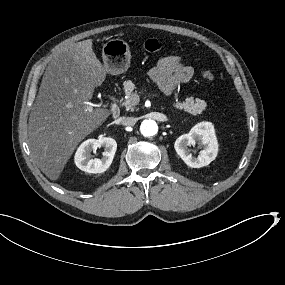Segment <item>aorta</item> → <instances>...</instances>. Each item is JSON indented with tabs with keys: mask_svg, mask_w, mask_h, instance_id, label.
<instances>
[{
	"mask_svg": "<svg viewBox=\"0 0 285 285\" xmlns=\"http://www.w3.org/2000/svg\"><path fill=\"white\" fill-rule=\"evenodd\" d=\"M140 131L144 137H153L158 132V125L153 120H145L140 126Z\"/></svg>",
	"mask_w": 285,
	"mask_h": 285,
	"instance_id": "1",
	"label": "aorta"
}]
</instances>
